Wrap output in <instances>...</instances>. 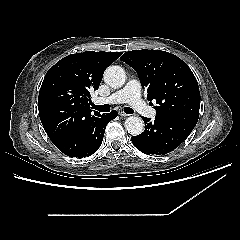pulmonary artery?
I'll use <instances>...</instances> for the list:
<instances>
[{
  "mask_svg": "<svg viewBox=\"0 0 240 240\" xmlns=\"http://www.w3.org/2000/svg\"><path fill=\"white\" fill-rule=\"evenodd\" d=\"M141 85L139 81L132 79L122 89L111 94L109 97H97L95 102L97 104H117L129 103L134 110L140 114L154 118L156 111L147 106L141 98Z\"/></svg>",
  "mask_w": 240,
  "mask_h": 240,
  "instance_id": "e3ab8cb5",
  "label": "pulmonary artery"
}]
</instances>
